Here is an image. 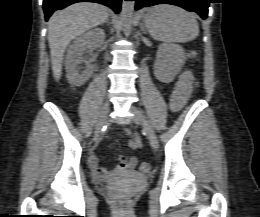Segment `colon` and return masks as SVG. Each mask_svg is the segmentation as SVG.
Masks as SVG:
<instances>
[{"instance_id":"5ec220e1","label":"colon","mask_w":260,"mask_h":217,"mask_svg":"<svg viewBox=\"0 0 260 217\" xmlns=\"http://www.w3.org/2000/svg\"><path fill=\"white\" fill-rule=\"evenodd\" d=\"M139 168L143 172H149L151 165L147 162H143L139 165ZM113 201L119 206H126L129 202V197L125 194H118L113 197Z\"/></svg>"}]
</instances>
